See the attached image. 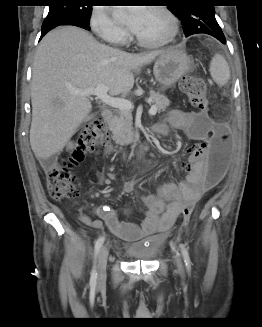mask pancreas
<instances>
[{
    "label": "pancreas",
    "instance_id": "cf45deb5",
    "mask_svg": "<svg viewBox=\"0 0 262 327\" xmlns=\"http://www.w3.org/2000/svg\"><path fill=\"white\" fill-rule=\"evenodd\" d=\"M150 98L157 111L163 112L170 105L169 99L159 92H150ZM113 140L119 145H128L134 140L132 127V113L127 110H118L114 115L110 125Z\"/></svg>",
    "mask_w": 262,
    "mask_h": 327
}]
</instances>
